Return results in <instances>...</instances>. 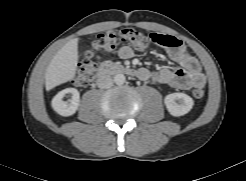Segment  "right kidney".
Segmentation results:
<instances>
[{
    "instance_id": "right-kidney-1",
    "label": "right kidney",
    "mask_w": 246,
    "mask_h": 181,
    "mask_svg": "<svg viewBox=\"0 0 246 181\" xmlns=\"http://www.w3.org/2000/svg\"><path fill=\"white\" fill-rule=\"evenodd\" d=\"M70 93L72 95L69 102L63 101V97ZM80 102V94L75 88H67L60 91L51 102L52 108L61 116H71L73 115L78 107Z\"/></svg>"
}]
</instances>
